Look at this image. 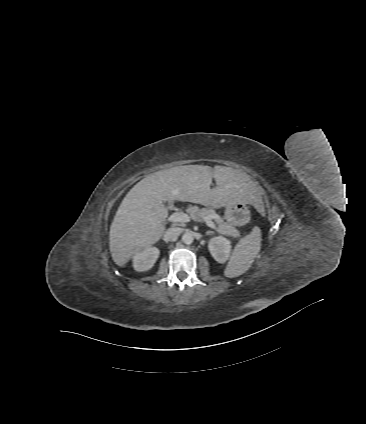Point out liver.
Wrapping results in <instances>:
<instances>
[{
    "instance_id": "liver-1",
    "label": "liver",
    "mask_w": 366,
    "mask_h": 424,
    "mask_svg": "<svg viewBox=\"0 0 366 424\" xmlns=\"http://www.w3.org/2000/svg\"><path fill=\"white\" fill-rule=\"evenodd\" d=\"M212 178L216 187L210 188ZM166 201L221 208L232 203L261 208V196L248 175L225 167L187 165L146 176L127 193L110 226L109 247L116 265L151 247L163 235L168 217Z\"/></svg>"
}]
</instances>
